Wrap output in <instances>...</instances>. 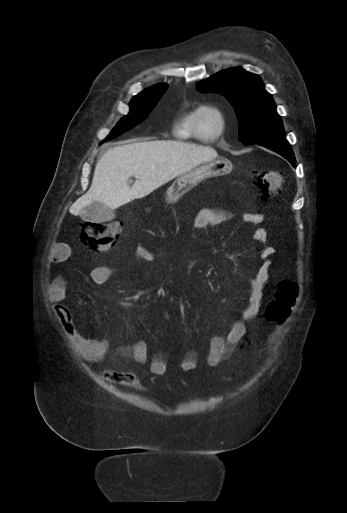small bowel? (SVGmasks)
<instances>
[{
  "instance_id": "obj_1",
  "label": "small bowel",
  "mask_w": 347,
  "mask_h": 513,
  "mask_svg": "<svg viewBox=\"0 0 347 513\" xmlns=\"http://www.w3.org/2000/svg\"><path fill=\"white\" fill-rule=\"evenodd\" d=\"M231 211L224 208L202 209L195 219V230L206 229L217 226L232 219ZM243 221L255 226L253 239L260 245L261 264L256 274L248 285L250 300L246 308L241 312L242 320L234 321L226 333H215L209 339L206 364L209 367H216L228 360L233 354L236 346L247 336V328L244 321L255 318L260 310L264 285L269 280V270L272 259L275 256V248L269 244L268 232L262 226L264 219L260 213H246ZM70 249L66 244H55L49 254L48 262L51 264L64 262L69 256ZM154 260L153 253L146 247H138L120 265H104L93 268L90 278L95 284H103L115 275L121 268L151 262ZM48 297L54 304V310L59 316L62 328L68 335L71 343L79 356L90 363L103 361L108 352L109 344L106 339L87 338L78 333L75 329L69 309L62 305L66 295V283L61 275L51 277L47 289ZM119 354L122 357L130 358L138 364H145L148 360L147 343L144 340H137L127 347L121 348ZM197 367V353L187 352L179 362V368L184 371H192ZM150 371L154 374H164L168 369L166 354L157 352L153 355L150 364ZM106 378L109 381L117 382L124 386L136 387L138 385V374L135 372H107Z\"/></svg>"
}]
</instances>
